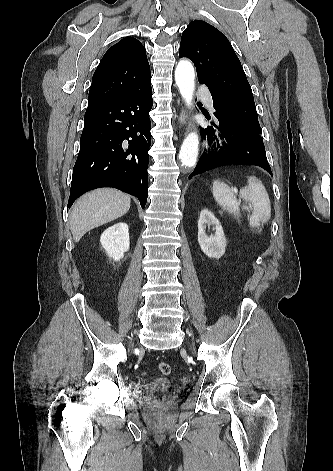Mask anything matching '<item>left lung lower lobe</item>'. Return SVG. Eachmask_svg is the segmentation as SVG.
Returning <instances> with one entry per match:
<instances>
[{"label":"left lung lower lobe","instance_id":"left-lung-lower-lobe-1","mask_svg":"<svg viewBox=\"0 0 333 471\" xmlns=\"http://www.w3.org/2000/svg\"><path fill=\"white\" fill-rule=\"evenodd\" d=\"M214 108L216 110L214 113L216 122H212L214 128L211 126L206 129L200 128V133L204 138L207 136L209 141L215 140L217 145L213 151L203 153L189 178L231 164L260 166L272 175L262 138L248 128L232 123L226 116L221 115L215 106ZM219 138L225 140L222 146L219 144Z\"/></svg>","mask_w":333,"mask_h":471}]
</instances>
